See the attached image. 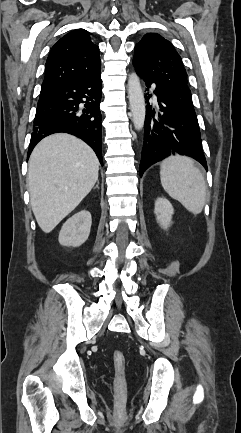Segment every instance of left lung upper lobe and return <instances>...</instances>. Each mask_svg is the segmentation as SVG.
<instances>
[{
	"label": "left lung upper lobe",
	"mask_w": 241,
	"mask_h": 433,
	"mask_svg": "<svg viewBox=\"0 0 241 433\" xmlns=\"http://www.w3.org/2000/svg\"><path fill=\"white\" fill-rule=\"evenodd\" d=\"M133 64L137 74L163 89L197 121L186 70L180 55L168 40L156 33L144 35L135 46Z\"/></svg>",
	"instance_id": "1"
}]
</instances>
